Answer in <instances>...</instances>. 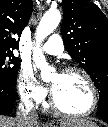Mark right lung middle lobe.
<instances>
[{"instance_id": "1", "label": "right lung middle lobe", "mask_w": 108, "mask_h": 127, "mask_svg": "<svg viewBox=\"0 0 108 127\" xmlns=\"http://www.w3.org/2000/svg\"><path fill=\"white\" fill-rule=\"evenodd\" d=\"M20 61L12 52L0 51V80L16 84Z\"/></svg>"}]
</instances>
